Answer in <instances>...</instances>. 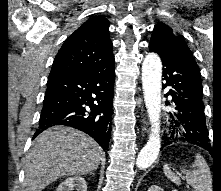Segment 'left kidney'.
<instances>
[{"mask_svg":"<svg viewBox=\"0 0 221 191\" xmlns=\"http://www.w3.org/2000/svg\"><path fill=\"white\" fill-rule=\"evenodd\" d=\"M148 191H164L162 188L156 185H152L149 187Z\"/></svg>","mask_w":221,"mask_h":191,"instance_id":"1","label":"left kidney"}]
</instances>
